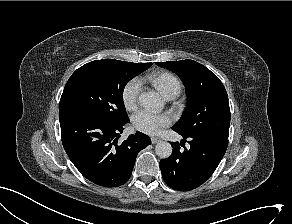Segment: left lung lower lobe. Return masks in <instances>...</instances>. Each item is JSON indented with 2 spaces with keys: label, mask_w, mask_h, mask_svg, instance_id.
<instances>
[{
  "label": "left lung lower lobe",
  "mask_w": 292,
  "mask_h": 224,
  "mask_svg": "<svg viewBox=\"0 0 292 224\" xmlns=\"http://www.w3.org/2000/svg\"><path fill=\"white\" fill-rule=\"evenodd\" d=\"M181 135V134H180ZM190 146L180 150L178 142H172V155L160 161L165 183L175 190H192L203 184L216 170L224 156L228 138L217 136L181 135Z\"/></svg>",
  "instance_id": "left-lung-lower-lobe-1"
}]
</instances>
